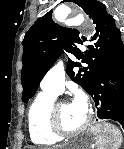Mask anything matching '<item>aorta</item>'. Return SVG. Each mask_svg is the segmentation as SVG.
Segmentation results:
<instances>
[{
  "label": "aorta",
  "mask_w": 124,
  "mask_h": 149,
  "mask_svg": "<svg viewBox=\"0 0 124 149\" xmlns=\"http://www.w3.org/2000/svg\"><path fill=\"white\" fill-rule=\"evenodd\" d=\"M84 21H85V17L83 16V14H78L75 17L67 20L66 23L67 25H70V26H78L84 23Z\"/></svg>",
  "instance_id": "obj_1"
}]
</instances>
